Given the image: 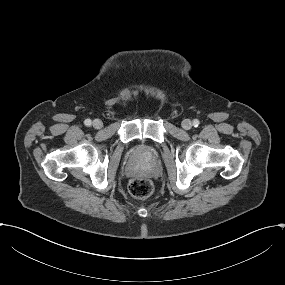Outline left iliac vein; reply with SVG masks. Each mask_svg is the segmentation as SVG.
<instances>
[{"label":"left iliac vein","mask_w":285,"mask_h":285,"mask_svg":"<svg viewBox=\"0 0 285 285\" xmlns=\"http://www.w3.org/2000/svg\"><path fill=\"white\" fill-rule=\"evenodd\" d=\"M182 127L186 130H190L192 128V122L189 119H184L182 121Z\"/></svg>","instance_id":"1"}]
</instances>
